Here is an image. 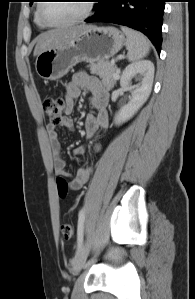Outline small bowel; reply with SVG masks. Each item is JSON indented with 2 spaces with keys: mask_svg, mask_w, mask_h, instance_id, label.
<instances>
[{
  "mask_svg": "<svg viewBox=\"0 0 195 299\" xmlns=\"http://www.w3.org/2000/svg\"><path fill=\"white\" fill-rule=\"evenodd\" d=\"M91 94V105L96 110V114H90L85 120V133L88 138H92L100 130H103L108 125V90L100 81L84 72H77L74 74L71 82L66 86L65 94V114L58 124L50 123L47 125V134L50 149L53 154L54 170L58 176L69 178V188L71 190H79L91 178L93 173V166L88 165L77 173L75 177H70L66 170V163L62 158L61 144L59 134L56 127L60 126L67 130L73 131V120L68 116L74 111L75 100L81 95L82 92ZM98 148V147H97ZM85 151L84 147L75 149L74 154L79 156Z\"/></svg>",
  "mask_w": 195,
  "mask_h": 299,
  "instance_id": "small-bowel-1",
  "label": "small bowel"
}]
</instances>
